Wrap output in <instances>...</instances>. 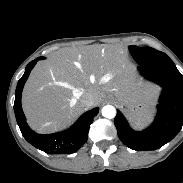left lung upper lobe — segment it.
I'll list each match as a JSON object with an SVG mask.
<instances>
[{
  "label": "left lung upper lobe",
  "mask_w": 183,
  "mask_h": 183,
  "mask_svg": "<svg viewBox=\"0 0 183 183\" xmlns=\"http://www.w3.org/2000/svg\"><path fill=\"white\" fill-rule=\"evenodd\" d=\"M130 53L138 64H152L170 58L163 52H160L151 47L129 46Z\"/></svg>",
  "instance_id": "1"
}]
</instances>
